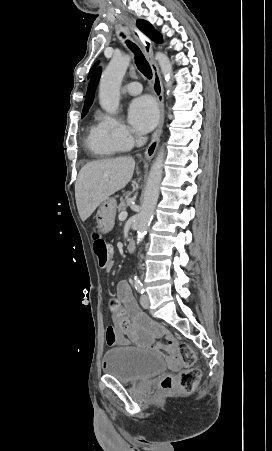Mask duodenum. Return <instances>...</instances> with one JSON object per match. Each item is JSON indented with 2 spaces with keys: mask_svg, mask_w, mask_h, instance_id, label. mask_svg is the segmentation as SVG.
Returning <instances> with one entry per match:
<instances>
[{
  "mask_svg": "<svg viewBox=\"0 0 272 451\" xmlns=\"http://www.w3.org/2000/svg\"><path fill=\"white\" fill-rule=\"evenodd\" d=\"M127 247L129 251H133L135 249V242L133 240L129 241Z\"/></svg>",
  "mask_w": 272,
  "mask_h": 451,
  "instance_id": "1",
  "label": "duodenum"
}]
</instances>
